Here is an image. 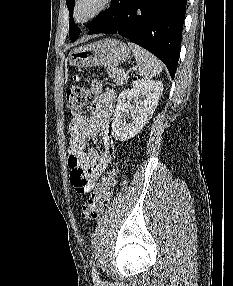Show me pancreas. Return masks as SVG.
Segmentation results:
<instances>
[{
    "instance_id": "1",
    "label": "pancreas",
    "mask_w": 233,
    "mask_h": 286,
    "mask_svg": "<svg viewBox=\"0 0 233 286\" xmlns=\"http://www.w3.org/2000/svg\"><path fill=\"white\" fill-rule=\"evenodd\" d=\"M107 73L110 78L114 80V82L121 86L128 81V77L124 76V70L120 68H108Z\"/></svg>"
}]
</instances>
